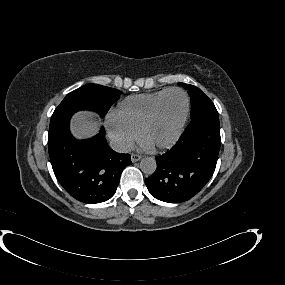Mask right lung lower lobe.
<instances>
[{"mask_svg":"<svg viewBox=\"0 0 285 285\" xmlns=\"http://www.w3.org/2000/svg\"><path fill=\"white\" fill-rule=\"evenodd\" d=\"M71 116L50 124L49 156L54 174L76 200L95 204L116 192L124 167L132 164L129 154L113 151L104 129L88 140H76L70 133Z\"/></svg>","mask_w":285,"mask_h":285,"instance_id":"98d812e1","label":"right lung lower lobe"}]
</instances>
